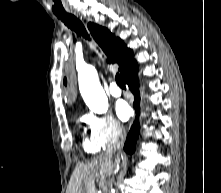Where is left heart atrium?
Segmentation results:
<instances>
[{
    "instance_id": "1",
    "label": "left heart atrium",
    "mask_w": 221,
    "mask_h": 193,
    "mask_svg": "<svg viewBox=\"0 0 221 193\" xmlns=\"http://www.w3.org/2000/svg\"><path fill=\"white\" fill-rule=\"evenodd\" d=\"M116 113L121 120L125 121L131 115V108L127 102L121 100L116 104Z\"/></svg>"
}]
</instances>
